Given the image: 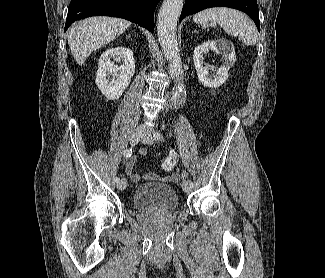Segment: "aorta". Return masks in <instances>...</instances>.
Returning <instances> with one entry per match:
<instances>
[{
    "mask_svg": "<svg viewBox=\"0 0 325 278\" xmlns=\"http://www.w3.org/2000/svg\"><path fill=\"white\" fill-rule=\"evenodd\" d=\"M184 0H164L157 21V34L160 46L169 63V73L178 80V86L173 90L171 101L176 102L183 93V68L178 51L176 30L177 21L182 11Z\"/></svg>",
    "mask_w": 325,
    "mask_h": 278,
    "instance_id": "1",
    "label": "aorta"
}]
</instances>
